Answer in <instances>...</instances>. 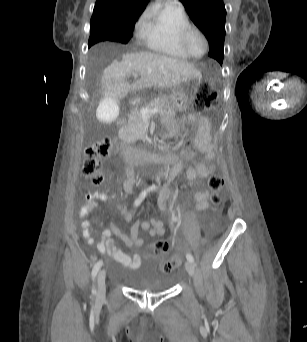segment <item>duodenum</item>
Returning <instances> with one entry per match:
<instances>
[{
    "label": "duodenum",
    "mask_w": 307,
    "mask_h": 342,
    "mask_svg": "<svg viewBox=\"0 0 307 342\" xmlns=\"http://www.w3.org/2000/svg\"><path fill=\"white\" fill-rule=\"evenodd\" d=\"M119 123L121 128H126L128 125V118L120 117ZM121 155L126 162L139 167H145L147 164L152 162H160L161 164L172 166V168L174 166L173 154L156 156L151 151L134 148L131 146H127L126 144H124L121 149Z\"/></svg>",
    "instance_id": "410a0bca"
}]
</instances>
